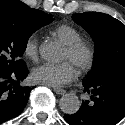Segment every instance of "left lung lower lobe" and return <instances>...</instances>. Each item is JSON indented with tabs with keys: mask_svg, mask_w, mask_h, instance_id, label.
<instances>
[{
	"mask_svg": "<svg viewBox=\"0 0 125 125\" xmlns=\"http://www.w3.org/2000/svg\"><path fill=\"white\" fill-rule=\"evenodd\" d=\"M92 102L85 101L72 115H64L69 125H116L125 116V74L106 75L84 82Z\"/></svg>",
	"mask_w": 125,
	"mask_h": 125,
	"instance_id": "1",
	"label": "left lung lower lobe"
}]
</instances>
